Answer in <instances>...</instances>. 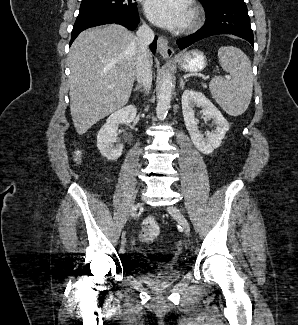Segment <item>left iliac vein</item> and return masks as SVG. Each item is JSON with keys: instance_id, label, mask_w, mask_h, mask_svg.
<instances>
[{"instance_id": "4c4485c4", "label": "left iliac vein", "mask_w": 298, "mask_h": 325, "mask_svg": "<svg viewBox=\"0 0 298 325\" xmlns=\"http://www.w3.org/2000/svg\"><path fill=\"white\" fill-rule=\"evenodd\" d=\"M170 214L177 220V222L181 225L186 233H190V226L187 219L183 216V214L175 207L171 206L168 208Z\"/></svg>"}]
</instances>
